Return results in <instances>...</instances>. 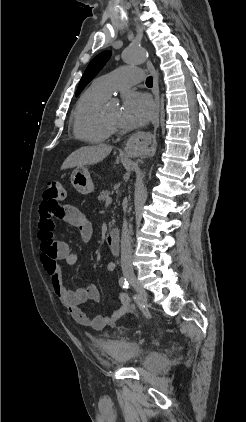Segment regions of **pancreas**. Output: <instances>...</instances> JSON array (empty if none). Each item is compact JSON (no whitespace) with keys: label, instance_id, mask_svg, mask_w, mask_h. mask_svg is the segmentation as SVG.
Returning a JSON list of instances; mask_svg holds the SVG:
<instances>
[{"label":"pancreas","instance_id":"1","mask_svg":"<svg viewBox=\"0 0 246 422\" xmlns=\"http://www.w3.org/2000/svg\"><path fill=\"white\" fill-rule=\"evenodd\" d=\"M109 194H110V192H109V191H107V190H106V191H102V192L100 193V195H99L98 199H99L100 201L104 202V201H106L107 197H109ZM113 223H114V221H112V222H110V223H109V228H111V227H112Z\"/></svg>","mask_w":246,"mask_h":422}]
</instances>
